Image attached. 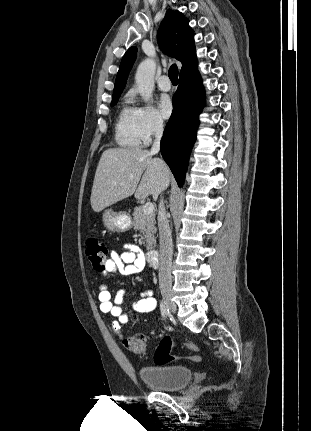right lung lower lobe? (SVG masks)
Instances as JSON below:
<instances>
[{"label": "right lung lower lobe", "instance_id": "obj_1", "mask_svg": "<svg viewBox=\"0 0 311 431\" xmlns=\"http://www.w3.org/2000/svg\"><path fill=\"white\" fill-rule=\"evenodd\" d=\"M204 96L205 91L197 67L180 76L179 87L173 96V113L160 143L163 159L179 186L184 182L189 154L196 139Z\"/></svg>", "mask_w": 311, "mask_h": 431}]
</instances>
